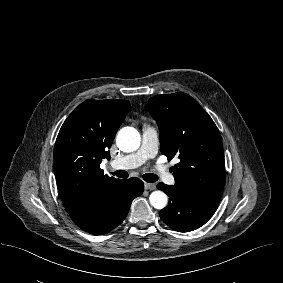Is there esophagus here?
I'll list each match as a JSON object with an SVG mask.
<instances>
[{"label": "esophagus", "instance_id": "obj_1", "mask_svg": "<svg viewBox=\"0 0 283 283\" xmlns=\"http://www.w3.org/2000/svg\"><path fill=\"white\" fill-rule=\"evenodd\" d=\"M144 187H145L146 190H154V189L156 188V185L153 184V183H147V182H145V183H144Z\"/></svg>", "mask_w": 283, "mask_h": 283}]
</instances>
